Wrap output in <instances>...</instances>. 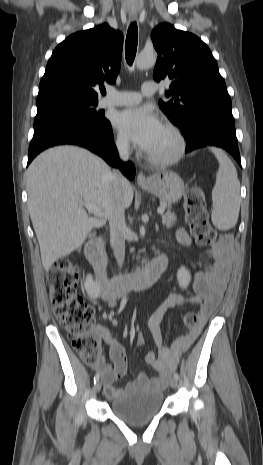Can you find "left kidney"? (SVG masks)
<instances>
[{"label":"left kidney","instance_id":"5707ae66","mask_svg":"<svg viewBox=\"0 0 263 465\" xmlns=\"http://www.w3.org/2000/svg\"><path fill=\"white\" fill-rule=\"evenodd\" d=\"M177 280L179 283V286L182 289H187L190 280H191V275L189 270H187L184 266H182L178 272H177Z\"/></svg>","mask_w":263,"mask_h":465}]
</instances>
